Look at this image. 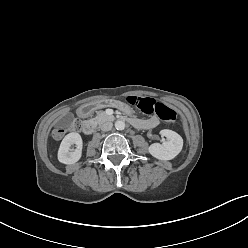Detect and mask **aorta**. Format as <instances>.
<instances>
[{
	"label": "aorta",
	"mask_w": 248,
	"mask_h": 248,
	"mask_svg": "<svg viewBox=\"0 0 248 248\" xmlns=\"http://www.w3.org/2000/svg\"><path fill=\"white\" fill-rule=\"evenodd\" d=\"M115 128H116L117 130H124V128H125V122L122 121V120H117V121L115 122Z\"/></svg>",
	"instance_id": "aorta-1"
}]
</instances>
